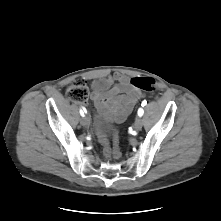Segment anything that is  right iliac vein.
Instances as JSON below:
<instances>
[{
    "instance_id": "obj_1",
    "label": "right iliac vein",
    "mask_w": 221,
    "mask_h": 221,
    "mask_svg": "<svg viewBox=\"0 0 221 221\" xmlns=\"http://www.w3.org/2000/svg\"><path fill=\"white\" fill-rule=\"evenodd\" d=\"M82 126L87 127L90 124V119L88 116H83L80 120Z\"/></svg>"
}]
</instances>
